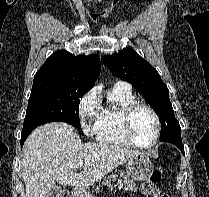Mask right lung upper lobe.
I'll return each instance as SVG.
<instances>
[{
    "instance_id": "right-lung-upper-lobe-1",
    "label": "right lung upper lobe",
    "mask_w": 209,
    "mask_h": 197,
    "mask_svg": "<svg viewBox=\"0 0 209 197\" xmlns=\"http://www.w3.org/2000/svg\"><path fill=\"white\" fill-rule=\"evenodd\" d=\"M97 55L74 56L67 51H56L34 76V82L72 83L92 88L100 74Z\"/></svg>"
}]
</instances>
